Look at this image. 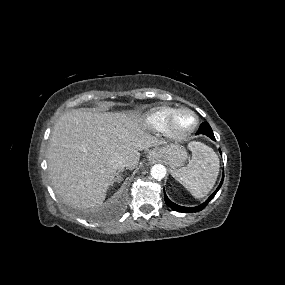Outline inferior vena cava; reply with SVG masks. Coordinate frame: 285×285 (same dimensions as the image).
<instances>
[{"label":"inferior vena cava","instance_id":"obj_1","mask_svg":"<svg viewBox=\"0 0 285 285\" xmlns=\"http://www.w3.org/2000/svg\"><path fill=\"white\" fill-rule=\"evenodd\" d=\"M113 163H114L115 167L119 170L123 169L124 167H127L126 160L121 156L115 157L113 159Z\"/></svg>","mask_w":285,"mask_h":285}]
</instances>
